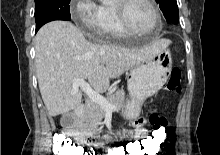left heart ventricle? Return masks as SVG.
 Segmentation results:
<instances>
[{
    "label": "left heart ventricle",
    "instance_id": "left-heart-ventricle-1",
    "mask_svg": "<svg viewBox=\"0 0 220 155\" xmlns=\"http://www.w3.org/2000/svg\"><path fill=\"white\" fill-rule=\"evenodd\" d=\"M126 12L129 22L137 30H148L153 25L151 9L144 0H132Z\"/></svg>",
    "mask_w": 220,
    "mask_h": 155
}]
</instances>
